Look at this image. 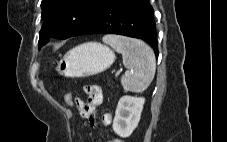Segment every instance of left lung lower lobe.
<instances>
[{
	"label": "left lung lower lobe",
	"instance_id": "obj_1",
	"mask_svg": "<svg viewBox=\"0 0 227 142\" xmlns=\"http://www.w3.org/2000/svg\"><path fill=\"white\" fill-rule=\"evenodd\" d=\"M119 34L148 42L158 56L153 8L149 0H108L73 36Z\"/></svg>",
	"mask_w": 227,
	"mask_h": 142
}]
</instances>
